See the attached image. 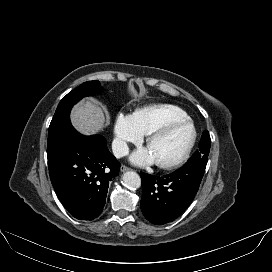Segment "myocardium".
Segmentation results:
<instances>
[{
	"instance_id": "1",
	"label": "myocardium",
	"mask_w": 272,
	"mask_h": 272,
	"mask_svg": "<svg viewBox=\"0 0 272 272\" xmlns=\"http://www.w3.org/2000/svg\"><path fill=\"white\" fill-rule=\"evenodd\" d=\"M178 125H187L190 127V129H191L190 141H189L187 147L185 148L184 152L177 159H175L171 162H165V163L156 162V164L162 169H168V170L174 169V168L181 166L183 163H185L187 161V159L189 158V156L195 146L196 139H197V129L195 127V124L189 118L176 119V120H172V121H169V122L161 125L160 127L154 129L152 132H150L147 135L146 145L149 146V144L154 139H156L159 136H162L163 134L168 132L170 129H172Z\"/></svg>"
}]
</instances>
